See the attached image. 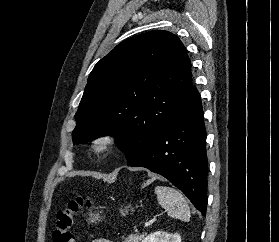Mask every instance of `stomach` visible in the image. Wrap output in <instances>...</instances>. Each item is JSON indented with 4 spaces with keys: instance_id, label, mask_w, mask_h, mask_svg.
Here are the masks:
<instances>
[{
    "instance_id": "stomach-1",
    "label": "stomach",
    "mask_w": 279,
    "mask_h": 242,
    "mask_svg": "<svg viewBox=\"0 0 279 242\" xmlns=\"http://www.w3.org/2000/svg\"><path fill=\"white\" fill-rule=\"evenodd\" d=\"M130 208V205H127L124 208L120 209V213L123 216H126L128 214V209ZM133 211V209H131ZM101 217L99 215V213H89V218H87L89 223H95L96 221H100Z\"/></svg>"
}]
</instances>
